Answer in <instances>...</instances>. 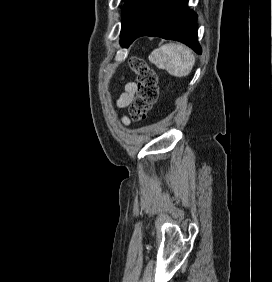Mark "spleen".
Returning a JSON list of instances; mask_svg holds the SVG:
<instances>
[{
    "label": "spleen",
    "mask_w": 272,
    "mask_h": 282,
    "mask_svg": "<svg viewBox=\"0 0 272 282\" xmlns=\"http://www.w3.org/2000/svg\"><path fill=\"white\" fill-rule=\"evenodd\" d=\"M149 60L159 69H165L173 76L184 77L192 69L194 56L189 48L169 43L154 50L149 56Z\"/></svg>",
    "instance_id": "3e777b00"
}]
</instances>
